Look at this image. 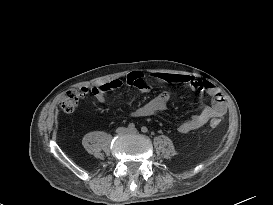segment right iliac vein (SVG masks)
Listing matches in <instances>:
<instances>
[{"mask_svg": "<svg viewBox=\"0 0 273 205\" xmlns=\"http://www.w3.org/2000/svg\"><path fill=\"white\" fill-rule=\"evenodd\" d=\"M127 131L128 130L125 127H120L117 129L118 134H125V133H127Z\"/></svg>", "mask_w": 273, "mask_h": 205, "instance_id": "right-iliac-vein-1", "label": "right iliac vein"}]
</instances>
